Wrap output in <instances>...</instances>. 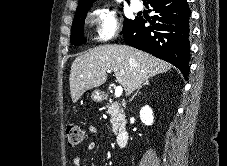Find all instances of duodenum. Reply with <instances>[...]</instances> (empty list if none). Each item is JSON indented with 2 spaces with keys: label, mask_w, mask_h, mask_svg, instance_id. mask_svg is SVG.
Returning <instances> with one entry per match:
<instances>
[{
  "label": "duodenum",
  "mask_w": 227,
  "mask_h": 166,
  "mask_svg": "<svg viewBox=\"0 0 227 166\" xmlns=\"http://www.w3.org/2000/svg\"><path fill=\"white\" fill-rule=\"evenodd\" d=\"M129 139V133L127 130L123 129L121 130L117 135V144L120 148H123Z\"/></svg>",
  "instance_id": "obj_1"
}]
</instances>
